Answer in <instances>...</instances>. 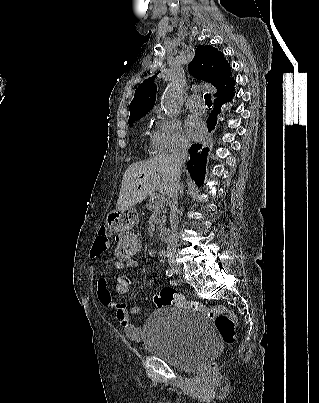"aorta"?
I'll list each match as a JSON object with an SVG mask.
<instances>
[{"label": "aorta", "instance_id": "aorta-1", "mask_svg": "<svg viewBox=\"0 0 319 403\" xmlns=\"http://www.w3.org/2000/svg\"><path fill=\"white\" fill-rule=\"evenodd\" d=\"M181 87L177 83H172L165 89L161 98V108L166 115L173 117L177 115L180 103Z\"/></svg>", "mask_w": 319, "mask_h": 403}]
</instances>
